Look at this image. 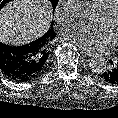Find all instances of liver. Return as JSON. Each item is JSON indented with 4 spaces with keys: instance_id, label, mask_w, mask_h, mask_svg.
Instances as JSON below:
<instances>
[{
    "instance_id": "obj_1",
    "label": "liver",
    "mask_w": 118,
    "mask_h": 118,
    "mask_svg": "<svg viewBox=\"0 0 118 118\" xmlns=\"http://www.w3.org/2000/svg\"><path fill=\"white\" fill-rule=\"evenodd\" d=\"M51 16L48 0H13L0 10V41L29 43L48 31Z\"/></svg>"
}]
</instances>
